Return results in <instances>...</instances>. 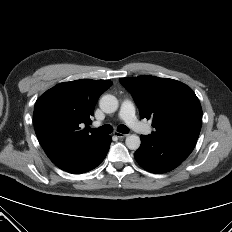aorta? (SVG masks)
Returning a JSON list of instances; mask_svg holds the SVG:
<instances>
[{"label": "aorta", "instance_id": "762f6f07", "mask_svg": "<svg viewBox=\"0 0 232 232\" xmlns=\"http://www.w3.org/2000/svg\"><path fill=\"white\" fill-rule=\"evenodd\" d=\"M99 106L103 112L113 113L118 109V100L115 96L106 94L100 99ZM125 143L130 150H137L141 141L139 136L132 134L126 137Z\"/></svg>", "mask_w": 232, "mask_h": 232}]
</instances>
